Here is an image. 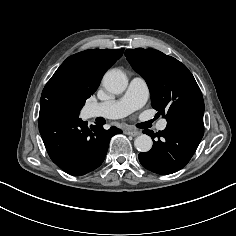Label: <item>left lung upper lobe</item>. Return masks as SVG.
<instances>
[{"label": "left lung upper lobe", "mask_w": 236, "mask_h": 236, "mask_svg": "<svg viewBox=\"0 0 236 236\" xmlns=\"http://www.w3.org/2000/svg\"><path fill=\"white\" fill-rule=\"evenodd\" d=\"M125 56L146 80L157 114L162 113L167 121L184 116L203 117L201 90L184 64L154 49H127Z\"/></svg>", "instance_id": "1"}]
</instances>
